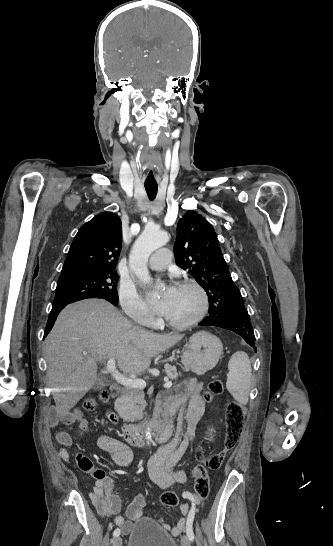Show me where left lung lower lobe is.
<instances>
[{
  "label": "left lung lower lobe",
  "instance_id": "obj_1",
  "mask_svg": "<svg viewBox=\"0 0 333 546\" xmlns=\"http://www.w3.org/2000/svg\"><path fill=\"white\" fill-rule=\"evenodd\" d=\"M199 325L217 326L234 331L242 336L249 345L255 347L256 339L246 308L228 313L225 316L210 315L199 323ZM254 349L256 351V347Z\"/></svg>",
  "mask_w": 333,
  "mask_h": 546
}]
</instances>
